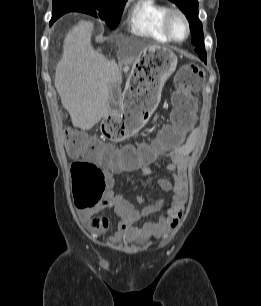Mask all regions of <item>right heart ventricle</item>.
<instances>
[{
  "mask_svg": "<svg viewBox=\"0 0 261 306\" xmlns=\"http://www.w3.org/2000/svg\"><path fill=\"white\" fill-rule=\"evenodd\" d=\"M168 7L156 0H137L131 8L129 25L133 33L159 42H169L163 20Z\"/></svg>",
  "mask_w": 261,
  "mask_h": 306,
  "instance_id": "right-heart-ventricle-1",
  "label": "right heart ventricle"
}]
</instances>
